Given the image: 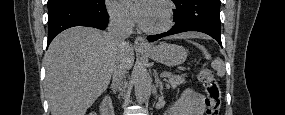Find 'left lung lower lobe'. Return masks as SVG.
Wrapping results in <instances>:
<instances>
[{"label":"left lung lower lobe","instance_id":"left-lung-lower-lobe-1","mask_svg":"<svg viewBox=\"0 0 285 115\" xmlns=\"http://www.w3.org/2000/svg\"><path fill=\"white\" fill-rule=\"evenodd\" d=\"M174 3L175 25L165 33L148 36L149 41L181 32L199 31L210 35L222 46L220 0H177Z\"/></svg>","mask_w":285,"mask_h":115}]
</instances>
